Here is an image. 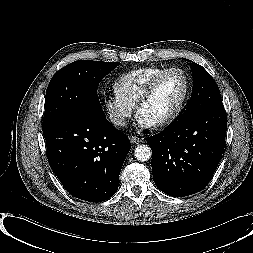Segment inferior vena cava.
Returning a JSON list of instances; mask_svg holds the SVG:
<instances>
[{
    "instance_id": "602c4592",
    "label": "inferior vena cava",
    "mask_w": 253,
    "mask_h": 253,
    "mask_svg": "<svg viewBox=\"0 0 253 253\" xmlns=\"http://www.w3.org/2000/svg\"><path fill=\"white\" fill-rule=\"evenodd\" d=\"M111 121L113 124H115L117 126H125V124H126L125 118L122 116H113L111 118Z\"/></svg>"
}]
</instances>
